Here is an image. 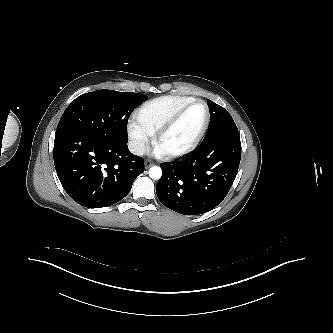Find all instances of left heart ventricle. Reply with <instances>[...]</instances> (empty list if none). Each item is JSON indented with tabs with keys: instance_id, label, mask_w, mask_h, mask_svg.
<instances>
[{
	"instance_id": "left-heart-ventricle-1",
	"label": "left heart ventricle",
	"mask_w": 333,
	"mask_h": 333,
	"mask_svg": "<svg viewBox=\"0 0 333 333\" xmlns=\"http://www.w3.org/2000/svg\"><path fill=\"white\" fill-rule=\"evenodd\" d=\"M206 119V108L198 103L190 107L179 122L163 137L160 149L179 150L187 146L197 135Z\"/></svg>"
}]
</instances>
